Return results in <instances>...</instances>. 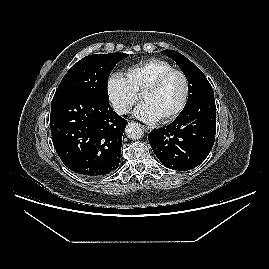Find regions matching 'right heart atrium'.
I'll list each match as a JSON object with an SVG mask.
<instances>
[{
	"instance_id": "d8ad5b80",
	"label": "right heart atrium",
	"mask_w": 269,
	"mask_h": 269,
	"mask_svg": "<svg viewBox=\"0 0 269 269\" xmlns=\"http://www.w3.org/2000/svg\"><path fill=\"white\" fill-rule=\"evenodd\" d=\"M106 94L112 109L119 115L128 113L138 100V95L131 88L127 78L118 72H114L108 77Z\"/></svg>"
}]
</instances>
